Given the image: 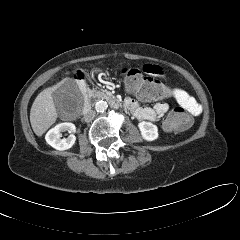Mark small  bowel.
Masks as SVG:
<instances>
[{"label": "small bowel", "instance_id": "small-bowel-1", "mask_svg": "<svg viewBox=\"0 0 240 240\" xmlns=\"http://www.w3.org/2000/svg\"><path fill=\"white\" fill-rule=\"evenodd\" d=\"M143 72L151 76L164 77V72L161 67L153 64L144 65ZM171 97L190 114L199 115L201 113V105L185 90L173 87L171 89ZM124 104L137 119L151 122L156 121L169 110L168 103L163 101L157 102L149 107L140 105L131 98H126Z\"/></svg>", "mask_w": 240, "mask_h": 240}]
</instances>
